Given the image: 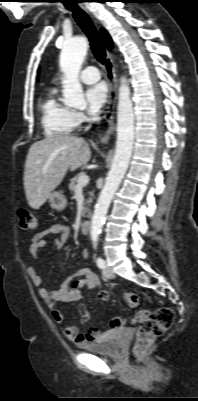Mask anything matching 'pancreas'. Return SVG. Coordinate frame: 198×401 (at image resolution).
Listing matches in <instances>:
<instances>
[{
    "label": "pancreas",
    "instance_id": "1",
    "mask_svg": "<svg viewBox=\"0 0 198 401\" xmlns=\"http://www.w3.org/2000/svg\"><path fill=\"white\" fill-rule=\"evenodd\" d=\"M83 175H85L84 172H81L79 174H77L75 177L70 179V183H69V190L71 192H75L76 188H77V183L80 177H82ZM89 199L84 203V206L89 205L92 202V192H89ZM83 216L84 217H89L90 216V210L85 207L83 210Z\"/></svg>",
    "mask_w": 198,
    "mask_h": 401
}]
</instances>
